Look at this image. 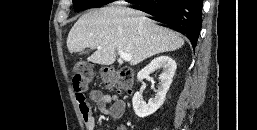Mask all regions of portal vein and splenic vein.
Masks as SVG:
<instances>
[{"label": "portal vein and splenic vein", "instance_id": "18ae733b", "mask_svg": "<svg viewBox=\"0 0 257 130\" xmlns=\"http://www.w3.org/2000/svg\"><path fill=\"white\" fill-rule=\"evenodd\" d=\"M100 49H101V46L98 47V50H100ZM118 54H119L120 58L122 60H124L125 62H129L132 58V56L129 53H126L122 50H118Z\"/></svg>", "mask_w": 257, "mask_h": 130}]
</instances>
